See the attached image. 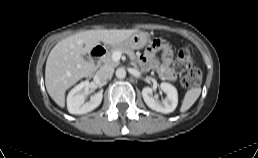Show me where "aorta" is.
<instances>
[{"mask_svg":"<svg viewBox=\"0 0 258 158\" xmlns=\"http://www.w3.org/2000/svg\"><path fill=\"white\" fill-rule=\"evenodd\" d=\"M116 77L119 79H123L126 77V70L124 68H118L116 70Z\"/></svg>","mask_w":258,"mask_h":158,"instance_id":"762f6f07","label":"aorta"}]
</instances>
